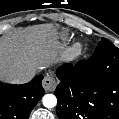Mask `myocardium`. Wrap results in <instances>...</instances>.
Listing matches in <instances>:
<instances>
[{
  "mask_svg": "<svg viewBox=\"0 0 119 119\" xmlns=\"http://www.w3.org/2000/svg\"><path fill=\"white\" fill-rule=\"evenodd\" d=\"M82 50V45L81 43H74L72 47L70 48V52L72 55H78Z\"/></svg>",
  "mask_w": 119,
  "mask_h": 119,
  "instance_id": "f54148a6",
  "label": "myocardium"
}]
</instances>
